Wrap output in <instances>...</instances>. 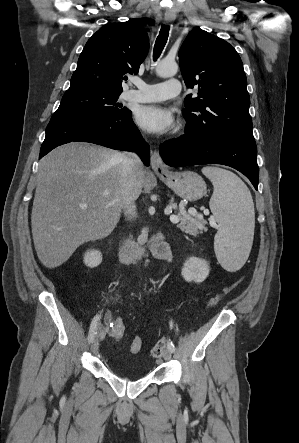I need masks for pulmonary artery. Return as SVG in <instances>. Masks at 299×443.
Returning <instances> with one entry per match:
<instances>
[{"label":"pulmonary artery","mask_w":299,"mask_h":443,"mask_svg":"<svg viewBox=\"0 0 299 443\" xmlns=\"http://www.w3.org/2000/svg\"><path fill=\"white\" fill-rule=\"evenodd\" d=\"M133 83L137 89L128 92L126 98L136 102L164 101L181 92L180 81L174 78L157 84H147L139 79H134Z\"/></svg>","instance_id":"e3ab8cb5"}]
</instances>
